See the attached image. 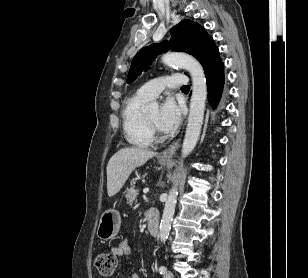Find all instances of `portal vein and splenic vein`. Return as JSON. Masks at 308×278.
Segmentation results:
<instances>
[{"label": "portal vein and splenic vein", "instance_id": "obj_1", "mask_svg": "<svg viewBox=\"0 0 308 278\" xmlns=\"http://www.w3.org/2000/svg\"><path fill=\"white\" fill-rule=\"evenodd\" d=\"M149 192V188H145L144 190H143V193L144 194H146V193H148Z\"/></svg>", "mask_w": 308, "mask_h": 278}]
</instances>
